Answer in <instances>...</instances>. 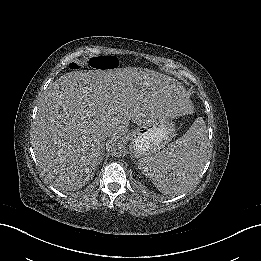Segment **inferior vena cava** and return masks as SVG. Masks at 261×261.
Wrapping results in <instances>:
<instances>
[{
	"label": "inferior vena cava",
	"mask_w": 261,
	"mask_h": 261,
	"mask_svg": "<svg viewBox=\"0 0 261 261\" xmlns=\"http://www.w3.org/2000/svg\"><path fill=\"white\" fill-rule=\"evenodd\" d=\"M116 133H117V132H115V133L110 132V133L108 134V136L114 135V134H116ZM108 136H106V137H108Z\"/></svg>",
	"instance_id": "obj_1"
}]
</instances>
